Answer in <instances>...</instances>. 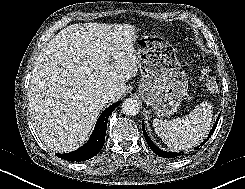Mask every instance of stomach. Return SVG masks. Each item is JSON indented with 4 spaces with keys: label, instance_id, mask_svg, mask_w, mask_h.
Listing matches in <instances>:
<instances>
[{
    "label": "stomach",
    "instance_id": "stomach-1",
    "mask_svg": "<svg viewBox=\"0 0 245 189\" xmlns=\"http://www.w3.org/2000/svg\"><path fill=\"white\" fill-rule=\"evenodd\" d=\"M141 73L139 93L157 116L174 113L187 94L188 78L168 41L155 36L135 35L131 42Z\"/></svg>",
    "mask_w": 245,
    "mask_h": 189
}]
</instances>
